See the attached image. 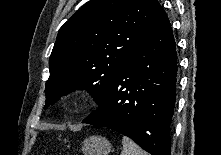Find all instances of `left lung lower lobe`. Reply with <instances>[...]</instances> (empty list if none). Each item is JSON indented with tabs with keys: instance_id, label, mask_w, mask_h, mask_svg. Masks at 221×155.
<instances>
[{
	"instance_id": "obj_1",
	"label": "left lung lower lobe",
	"mask_w": 221,
	"mask_h": 155,
	"mask_svg": "<svg viewBox=\"0 0 221 155\" xmlns=\"http://www.w3.org/2000/svg\"><path fill=\"white\" fill-rule=\"evenodd\" d=\"M177 53L163 10L133 50L99 107L82 123L120 132L152 155H170Z\"/></svg>"
}]
</instances>
